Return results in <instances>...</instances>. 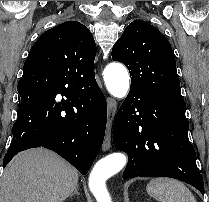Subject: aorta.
Instances as JSON below:
<instances>
[{
  "label": "aorta",
  "instance_id": "762f6f07",
  "mask_svg": "<svg viewBox=\"0 0 209 202\" xmlns=\"http://www.w3.org/2000/svg\"><path fill=\"white\" fill-rule=\"evenodd\" d=\"M104 80L109 93L116 98L126 96L129 89V73L125 66L110 63L104 70ZM123 153H111L99 160L89 176V188L97 202H111L106 180L120 171L126 164Z\"/></svg>",
  "mask_w": 209,
  "mask_h": 202
}]
</instances>
